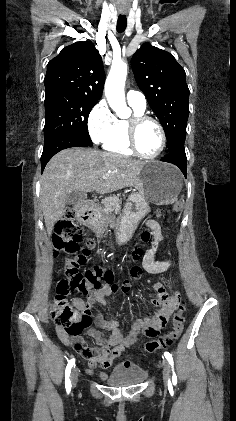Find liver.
Instances as JSON below:
<instances>
[{
	"label": "liver",
	"instance_id": "liver-1",
	"mask_svg": "<svg viewBox=\"0 0 236 421\" xmlns=\"http://www.w3.org/2000/svg\"><path fill=\"white\" fill-rule=\"evenodd\" d=\"M143 160L90 148H64L47 162L40 178L41 211L50 237L54 225L65 213L66 198L72 190L99 194L125 186L140 188ZM110 174L109 178H102Z\"/></svg>",
	"mask_w": 236,
	"mask_h": 421
}]
</instances>
